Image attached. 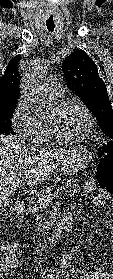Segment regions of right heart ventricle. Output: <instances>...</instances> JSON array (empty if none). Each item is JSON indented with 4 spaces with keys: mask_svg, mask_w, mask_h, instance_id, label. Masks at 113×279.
Masks as SVG:
<instances>
[{
    "mask_svg": "<svg viewBox=\"0 0 113 279\" xmlns=\"http://www.w3.org/2000/svg\"><path fill=\"white\" fill-rule=\"evenodd\" d=\"M37 134L33 140V142L38 144H46L49 143L52 139V134L48 128L46 120L43 118H37Z\"/></svg>",
    "mask_w": 113,
    "mask_h": 279,
    "instance_id": "e07e8e85",
    "label": "right heart ventricle"
}]
</instances>
